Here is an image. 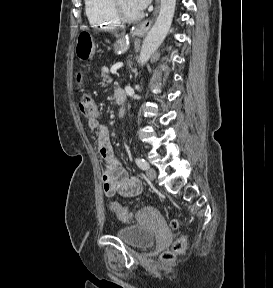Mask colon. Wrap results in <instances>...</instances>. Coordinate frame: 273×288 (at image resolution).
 <instances>
[{
  "instance_id": "obj_1",
  "label": "colon",
  "mask_w": 273,
  "mask_h": 288,
  "mask_svg": "<svg viewBox=\"0 0 273 288\" xmlns=\"http://www.w3.org/2000/svg\"><path fill=\"white\" fill-rule=\"evenodd\" d=\"M77 54L82 59H89L91 57L92 42L88 34H81L79 36L77 44ZM79 108L82 114L90 120H96L99 115V108L97 104L90 96L86 94L79 95ZM111 207L120 221L125 223H130L133 221V214L129 209L121 206L116 202L112 203ZM171 225L172 227L176 228L178 226V222L176 220H173L171 222ZM185 247L186 238L184 236H181L174 242L172 250L163 253L162 257L164 260H170L176 254L184 251Z\"/></svg>"
}]
</instances>
